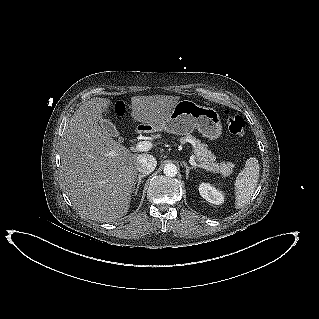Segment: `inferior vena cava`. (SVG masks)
<instances>
[{"label":"inferior vena cava","mask_w":319,"mask_h":319,"mask_svg":"<svg viewBox=\"0 0 319 319\" xmlns=\"http://www.w3.org/2000/svg\"><path fill=\"white\" fill-rule=\"evenodd\" d=\"M138 161H139V166L137 168L138 171L146 175L153 172L157 166L156 158L149 154L141 155Z\"/></svg>","instance_id":"602c4592"}]
</instances>
